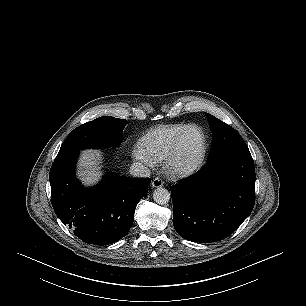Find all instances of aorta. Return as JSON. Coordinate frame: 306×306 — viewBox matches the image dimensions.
<instances>
[{
  "mask_svg": "<svg viewBox=\"0 0 306 306\" xmlns=\"http://www.w3.org/2000/svg\"><path fill=\"white\" fill-rule=\"evenodd\" d=\"M153 199L157 204L164 205L170 200V193L167 189L159 187L153 192Z\"/></svg>",
  "mask_w": 306,
  "mask_h": 306,
  "instance_id": "1",
  "label": "aorta"
}]
</instances>
